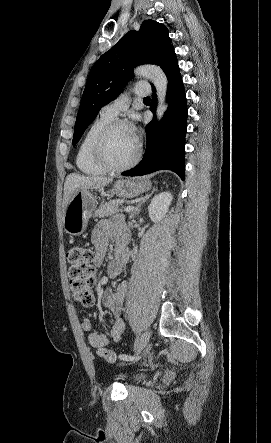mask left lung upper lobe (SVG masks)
<instances>
[{"instance_id": "1", "label": "left lung upper lobe", "mask_w": 271, "mask_h": 443, "mask_svg": "<svg viewBox=\"0 0 271 443\" xmlns=\"http://www.w3.org/2000/svg\"><path fill=\"white\" fill-rule=\"evenodd\" d=\"M168 29L146 20L139 31H130L104 53L90 70L76 118L72 145L95 119L102 106L114 100L141 64H157L173 47Z\"/></svg>"}]
</instances>
